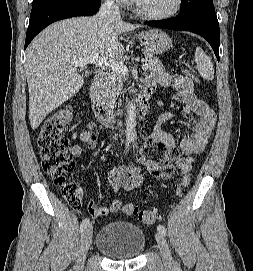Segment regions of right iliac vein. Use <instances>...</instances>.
Returning a JSON list of instances; mask_svg holds the SVG:
<instances>
[{"instance_id": "1", "label": "right iliac vein", "mask_w": 253, "mask_h": 271, "mask_svg": "<svg viewBox=\"0 0 253 271\" xmlns=\"http://www.w3.org/2000/svg\"><path fill=\"white\" fill-rule=\"evenodd\" d=\"M91 242H92V226H89L83 231L81 235L75 271L83 270L86 255L90 248Z\"/></svg>"}]
</instances>
